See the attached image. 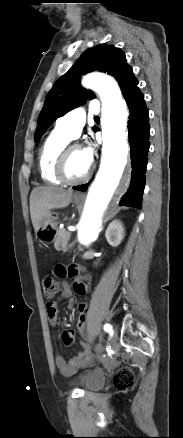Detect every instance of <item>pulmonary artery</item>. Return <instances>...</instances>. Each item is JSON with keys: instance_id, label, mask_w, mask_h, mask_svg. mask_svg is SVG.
<instances>
[{"instance_id": "e3ab8cb5", "label": "pulmonary artery", "mask_w": 183, "mask_h": 438, "mask_svg": "<svg viewBox=\"0 0 183 438\" xmlns=\"http://www.w3.org/2000/svg\"><path fill=\"white\" fill-rule=\"evenodd\" d=\"M100 111V103L97 100H92L89 104V112L91 114H99ZM85 121L86 112L82 107H78L60 117L56 122L55 128L70 139H75L79 136Z\"/></svg>"}]
</instances>
